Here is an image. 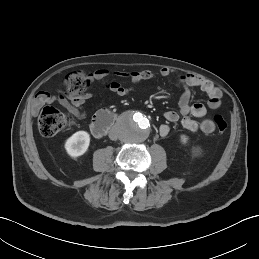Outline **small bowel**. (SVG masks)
Segmentation results:
<instances>
[{"label":"small bowel","instance_id":"obj_1","mask_svg":"<svg viewBox=\"0 0 259 259\" xmlns=\"http://www.w3.org/2000/svg\"><path fill=\"white\" fill-rule=\"evenodd\" d=\"M110 72L107 69H98L91 73L90 79L92 81H101L105 79ZM162 77L168 78L174 74V70L168 67L162 68L159 72ZM113 75L117 78H125L133 83L142 81H149L155 78L156 74L150 70L143 71H128V72H114ZM180 83L184 87V91L180 96L178 105L179 113L181 115L182 126L191 131H201L205 134H211L215 131L214 123L205 118L207 108L202 103L191 102L190 88H198L208 96L207 106L211 109H217L221 105L222 91L216 87L212 81L194 74H183L179 77ZM103 88L110 91L117 96H124L129 89L121 84L118 80L112 79L107 81ZM94 92L88 91L77 98L66 97L62 91L57 94H50L48 92H39L32 101L31 111L36 114L39 109L45 104L58 103L69 111L76 118L82 119L86 117L84 105L94 97ZM180 115L172 110L164 113V118L169 123H175L179 120ZM199 119V120H196ZM170 132V127L163 124L159 127V134L167 136Z\"/></svg>","mask_w":259,"mask_h":259}]
</instances>
